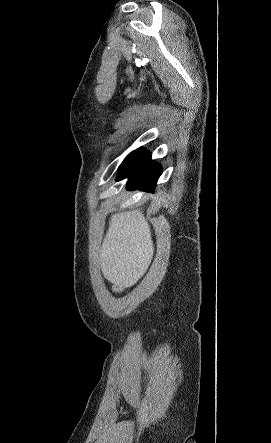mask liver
Listing matches in <instances>:
<instances>
[{"instance_id": "6515ba94", "label": "liver", "mask_w": 271, "mask_h": 443, "mask_svg": "<svg viewBox=\"0 0 271 443\" xmlns=\"http://www.w3.org/2000/svg\"><path fill=\"white\" fill-rule=\"evenodd\" d=\"M154 255L150 225L140 210L111 216L100 249L101 271L120 287L135 285Z\"/></svg>"}]
</instances>
